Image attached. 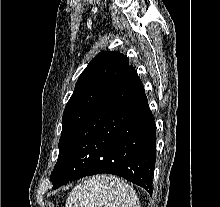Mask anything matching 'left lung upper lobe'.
<instances>
[{
  "mask_svg": "<svg viewBox=\"0 0 220 207\" xmlns=\"http://www.w3.org/2000/svg\"><path fill=\"white\" fill-rule=\"evenodd\" d=\"M128 66L129 59L127 56L116 51H102L87 65L80 75L63 112L58 160L77 129L101 102Z\"/></svg>",
  "mask_w": 220,
  "mask_h": 207,
  "instance_id": "1",
  "label": "left lung upper lobe"
}]
</instances>
